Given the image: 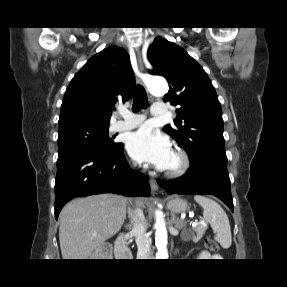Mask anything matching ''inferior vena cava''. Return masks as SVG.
I'll list each match as a JSON object with an SVG mask.
<instances>
[{
  "instance_id": "obj_1",
  "label": "inferior vena cava",
  "mask_w": 287,
  "mask_h": 287,
  "mask_svg": "<svg viewBox=\"0 0 287 287\" xmlns=\"http://www.w3.org/2000/svg\"><path fill=\"white\" fill-rule=\"evenodd\" d=\"M134 214V226L132 232L135 235L136 244L138 247L137 259H148L147 257L149 256L151 249V238L146 234L147 225L145 223L144 214L140 208L135 209Z\"/></svg>"
}]
</instances>
